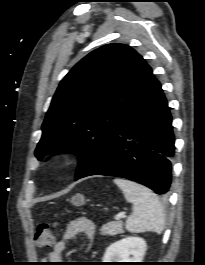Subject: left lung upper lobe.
<instances>
[{
    "mask_svg": "<svg viewBox=\"0 0 205 265\" xmlns=\"http://www.w3.org/2000/svg\"><path fill=\"white\" fill-rule=\"evenodd\" d=\"M152 69L131 47L108 44L84 57L63 78L42 124L35 156L74 152L76 172L92 161L143 93Z\"/></svg>",
    "mask_w": 205,
    "mask_h": 265,
    "instance_id": "obj_1",
    "label": "left lung upper lobe"
}]
</instances>
